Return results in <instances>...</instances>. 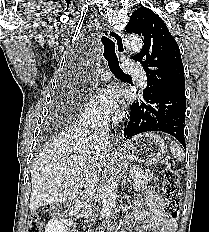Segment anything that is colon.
<instances>
[{"instance_id": "5ec220e1", "label": "colon", "mask_w": 209, "mask_h": 232, "mask_svg": "<svg viewBox=\"0 0 209 232\" xmlns=\"http://www.w3.org/2000/svg\"><path fill=\"white\" fill-rule=\"evenodd\" d=\"M163 196L165 202V213L170 219H176L181 204V188L179 177L175 172H168L163 181ZM27 232H41V216L33 214L30 216Z\"/></svg>"}]
</instances>
